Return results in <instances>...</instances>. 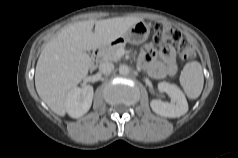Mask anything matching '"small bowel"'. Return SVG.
I'll list each match as a JSON object with an SVG mask.
<instances>
[{
	"mask_svg": "<svg viewBox=\"0 0 238 158\" xmlns=\"http://www.w3.org/2000/svg\"><path fill=\"white\" fill-rule=\"evenodd\" d=\"M139 63L155 79L174 77L177 73L175 51L171 46H165L157 52L151 45H145Z\"/></svg>",
	"mask_w": 238,
	"mask_h": 158,
	"instance_id": "small-bowel-1",
	"label": "small bowel"
}]
</instances>
